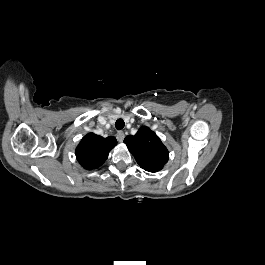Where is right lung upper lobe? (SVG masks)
<instances>
[{
  "mask_svg": "<svg viewBox=\"0 0 265 265\" xmlns=\"http://www.w3.org/2000/svg\"><path fill=\"white\" fill-rule=\"evenodd\" d=\"M117 144L115 137L103 138L94 133L85 135L76 148L78 162L87 170L100 167Z\"/></svg>",
  "mask_w": 265,
  "mask_h": 265,
  "instance_id": "1",
  "label": "right lung upper lobe"
}]
</instances>
